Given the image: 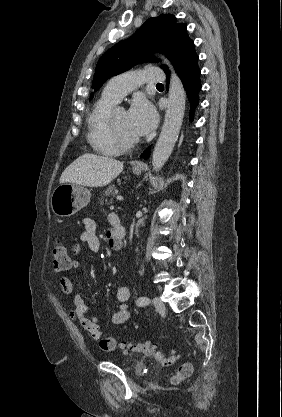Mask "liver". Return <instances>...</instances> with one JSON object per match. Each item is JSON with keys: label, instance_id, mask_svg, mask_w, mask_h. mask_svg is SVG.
<instances>
[{"label": "liver", "instance_id": "6515ba94", "mask_svg": "<svg viewBox=\"0 0 282 417\" xmlns=\"http://www.w3.org/2000/svg\"><path fill=\"white\" fill-rule=\"evenodd\" d=\"M123 170V162L112 156L85 152L63 170L59 182H75L82 186H106Z\"/></svg>", "mask_w": 282, "mask_h": 417}]
</instances>
